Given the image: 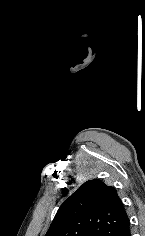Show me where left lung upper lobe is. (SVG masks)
I'll return each instance as SVG.
<instances>
[{
    "label": "left lung upper lobe",
    "instance_id": "5c2ea615",
    "mask_svg": "<svg viewBox=\"0 0 145 236\" xmlns=\"http://www.w3.org/2000/svg\"><path fill=\"white\" fill-rule=\"evenodd\" d=\"M129 223L115 188L89 180L60 206L45 236H120Z\"/></svg>",
    "mask_w": 145,
    "mask_h": 236
}]
</instances>
